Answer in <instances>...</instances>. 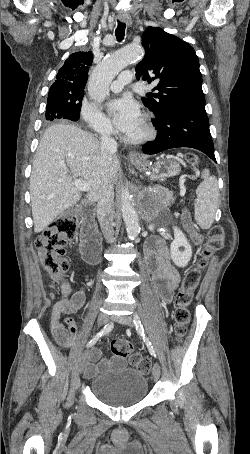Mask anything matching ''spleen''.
I'll return each mask as SVG.
<instances>
[{"label":"spleen","mask_w":250,"mask_h":454,"mask_svg":"<svg viewBox=\"0 0 250 454\" xmlns=\"http://www.w3.org/2000/svg\"><path fill=\"white\" fill-rule=\"evenodd\" d=\"M203 181L196 189L194 218L203 229H209L215 219L218 208L219 189L216 177L211 176L208 169L202 172Z\"/></svg>","instance_id":"spleen-1"}]
</instances>
